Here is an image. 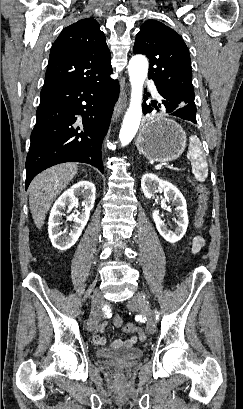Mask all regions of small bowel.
<instances>
[{
  "instance_id": "obj_1",
  "label": "small bowel",
  "mask_w": 243,
  "mask_h": 409,
  "mask_svg": "<svg viewBox=\"0 0 243 409\" xmlns=\"http://www.w3.org/2000/svg\"><path fill=\"white\" fill-rule=\"evenodd\" d=\"M205 242H206L205 238H203L202 236H198L195 242L191 246L192 252L194 254L198 253L205 246ZM106 326H107L106 322H103L100 325L99 330H98L99 333L95 334L93 337L94 344L98 346H102L106 343L105 337L101 334L105 331ZM139 340L142 341L138 335H133L126 340H121V339L116 340L115 342H113V346L130 348L133 345H135Z\"/></svg>"
}]
</instances>
